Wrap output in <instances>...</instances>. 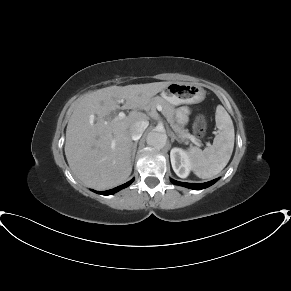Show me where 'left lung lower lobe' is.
<instances>
[{
  "label": "left lung lower lobe",
  "mask_w": 291,
  "mask_h": 291,
  "mask_svg": "<svg viewBox=\"0 0 291 291\" xmlns=\"http://www.w3.org/2000/svg\"><path fill=\"white\" fill-rule=\"evenodd\" d=\"M218 179H214L212 181L206 182V183H185V182H179V181H175V180H171V182L173 184L176 185H181V186H185L187 188H191V189H195V190H199V189H204L206 187L211 186L212 184H214Z\"/></svg>",
  "instance_id": "obj_1"
}]
</instances>
